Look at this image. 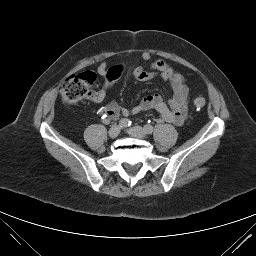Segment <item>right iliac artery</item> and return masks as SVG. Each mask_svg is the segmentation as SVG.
Returning a JSON list of instances; mask_svg holds the SVG:
<instances>
[{
  "instance_id": "82829eb1",
  "label": "right iliac artery",
  "mask_w": 256,
  "mask_h": 256,
  "mask_svg": "<svg viewBox=\"0 0 256 256\" xmlns=\"http://www.w3.org/2000/svg\"><path fill=\"white\" fill-rule=\"evenodd\" d=\"M131 125V121L129 119L123 118L119 121V126L121 128H126L129 127Z\"/></svg>"
}]
</instances>
